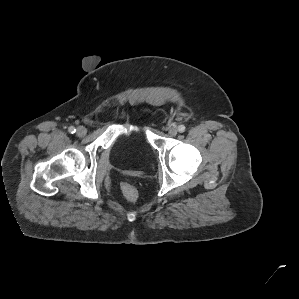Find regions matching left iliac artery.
<instances>
[{
	"label": "left iliac artery",
	"instance_id": "1",
	"mask_svg": "<svg viewBox=\"0 0 299 299\" xmlns=\"http://www.w3.org/2000/svg\"><path fill=\"white\" fill-rule=\"evenodd\" d=\"M185 129H186V128H185L184 125H179V126H178V131L181 132V133H183V132L185 131Z\"/></svg>",
	"mask_w": 299,
	"mask_h": 299
}]
</instances>
